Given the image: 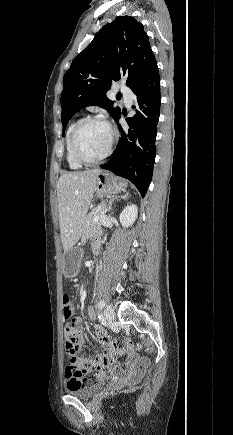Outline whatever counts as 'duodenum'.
Wrapping results in <instances>:
<instances>
[{"mask_svg": "<svg viewBox=\"0 0 233 435\" xmlns=\"http://www.w3.org/2000/svg\"><path fill=\"white\" fill-rule=\"evenodd\" d=\"M93 250H94L95 253L99 252V248H98L97 244H95V247L93 248Z\"/></svg>", "mask_w": 233, "mask_h": 435, "instance_id": "duodenum-1", "label": "duodenum"}]
</instances>
